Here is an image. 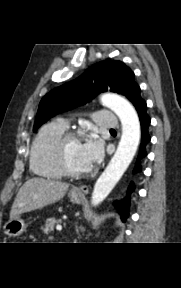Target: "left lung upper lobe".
Listing matches in <instances>:
<instances>
[{"mask_svg":"<svg viewBox=\"0 0 181 288\" xmlns=\"http://www.w3.org/2000/svg\"><path fill=\"white\" fill-rule=\"evenodd\" d=\"M107 90L125 95L131 101L140 87L134 81L133 71L121 61L99 62L75 80L53 89L43 97L33 131L56 114L82 105Z\"/></svg>","mask_w":181,"mask_h":288,"instance_id":"5c2ea615","label":"left lung upper lobe"}]
</instances>
